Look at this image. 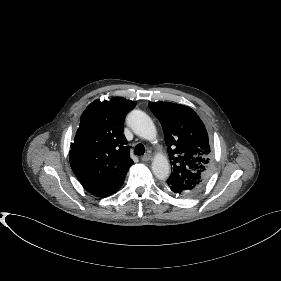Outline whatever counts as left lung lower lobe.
Here are the masks:
<instances>
[{
	"label": "left lung lower lobe",
	"instance_id": "1",
	"mask_svg": "<svg viewBox=\"0 0 281 281\" xmlns=\"http://www.w3.org/2000/svg\"><path fill=\"white\" fill-rule=\"evenodd\" d=\"M165 189L168 192H170L171 194H174L175 196H178V197H184V198L190 197L189 192H185V191L178 189L176 187H173V186H165Z\"/></svg>",
	"mask_w": 281,
	"mask_h": 281
}]
</instances>
